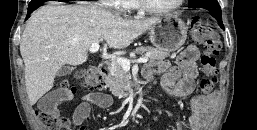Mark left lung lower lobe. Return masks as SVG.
I'll return each instance as SVG.
<instances>
[{"label": "left lung lower lobe", "mask_w": 257, "mask_h": 130, "mask_svg": "<svg viewBox=\"0 0 257 130\" xmlns=\"http://www.w3.org/2000/svg\"><path fill=\"white\" fill-rule=\"evenodd\" d=\"M212 16H214L218 21L222 29H224V25L222 22L221 9H212L208 10Z\"/></svg>", "instance_id": "left-lung-lower-lobe-1"}]
</instances>
